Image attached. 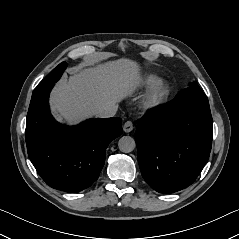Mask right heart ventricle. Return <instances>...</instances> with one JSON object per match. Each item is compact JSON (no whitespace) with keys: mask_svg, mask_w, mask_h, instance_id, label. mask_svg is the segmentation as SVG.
<instances>
[{"mask_svg":"<svg viewBox=\"0 0 239 239\" xmlns=\"http://www.w3.org/2000/svg\"><path fill=\"white\" fill-rule=\"evenodd\" d=\"M157 79V76L154 74H148L146 75L143 80L141 81V85L143 87H147L151 84H153V82Z\"/></svg>","mask_w":239,"mask_h":239,"instance_id":"obj_1","label":"right heart ventricle"}]
</instances>
